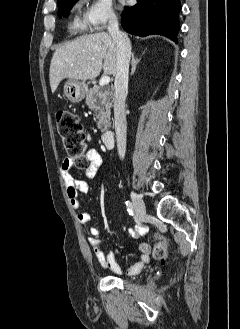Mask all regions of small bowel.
Wrapping results in <instances>:
<instances>
[{
    "label": "small bowel",
    "instance_id": "1",
    "mask_svg": "<svg viewBox=\"0 0 240 329\" xmlns=\"http://www.w3.org/2000/svg\"><path fill=\"white\" fill-rule=\"evenodd\" d=\"M88 164L82 169V173L87 178H94L98 174L102 165V159L100 154L95 149H89L86 153ZM72 159L66 158L62 161L59 167L61 177L65 184L66 194L71 206L74 209H80L82 203L79 200V193H86L89 190L88 184L79 179L72 177L70 169L72 166ZM78 220L82 224H88L91 221V215L88 212H80L78 214ZM90 237L88 244L94 250L97 260L102 267L110 270L114 274L120 275L122 273L121 267L116 261V254L120 252L119 248H111L104 250L101 245V241L98 236L101 231L97 227H91L89 230ZM144 233L142 226H136L130 229L129 234L132 238H138ZM140 252L139 259L134 262L128 268L129 275H137L141 272L143 267L150 263V246L147 243H141L138 245Z\"/></svg>",
    "mask_w": 240,
    "mask_h": 329
}]
</instances>
